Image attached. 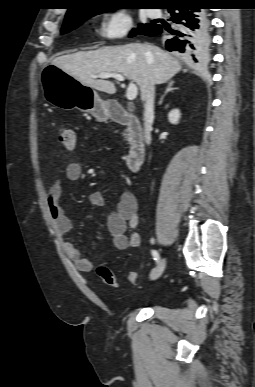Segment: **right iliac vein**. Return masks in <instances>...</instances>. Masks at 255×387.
<instances>
[{"instance_id":"right-iliac-vein-1","label":"right iliac vein","mask_w":255,"mask_h":387,"mask_svg":"<svg viewBox=\"0 0 255 387\" xmlns=\"http://www.w3.org/2000/svg\"><path fill=\"white\" fill-rule=\"evenodd\" d=\"M165 266H166V260H165L164 258L160 259V260L158 261L157 266H156V267L154 268V270L151 272V274H150V279H151V280H156V279H158V278L162 275V273H163V271H164V269H165Z\"/></svg>"}]
</instances>
